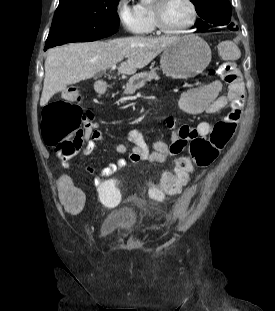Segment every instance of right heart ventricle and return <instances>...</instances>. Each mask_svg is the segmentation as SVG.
Segmentation results:
<instances>
[{"mask_svg":"<svg viewBox=\"0 0 275 311\" xmlns=\"http://www.w3.org/2000/svg\"><path fill=\"white\" fill-rule=\"evenodd\" d=\"M136 7L145 21L146 27L145 30L143 31V34L152 33L155 30V22L153 17L152 6L144 2H139L136 5Z\"/></svg>","mask_w":275,"mask_h":311,"instance_id":"obj_1","label":"right heart ventricle"}]
</instances>
